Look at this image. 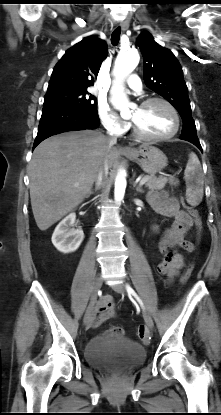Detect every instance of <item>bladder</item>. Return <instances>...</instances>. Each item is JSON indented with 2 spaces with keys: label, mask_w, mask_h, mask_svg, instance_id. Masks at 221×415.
<instances>
[{
  "label": "bladder",
  "mask_w": 221,
  "mask_h": 415,
  "mask_svg": "<svg viewBox=\"0 0 221 415\" xmlns=\"http://www.w3.org/2000/svg\"><path fill=\"white\" fill-rule=\"evenodd\" d=\"M84 355L94 368L106 371L128 370L145 361L146 350L129 338L101 334L88 342Z\"/></svg>",
  "instance_id": "1"
}]
</instances>
